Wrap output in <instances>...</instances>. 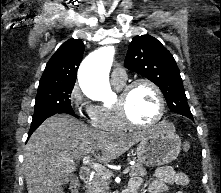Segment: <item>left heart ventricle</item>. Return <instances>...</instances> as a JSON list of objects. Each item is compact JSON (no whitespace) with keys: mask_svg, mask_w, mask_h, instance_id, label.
<instances>
[{"mask_svg":"<svg viewBox=\"0 0 221 193\" xmlns=\"http://www.w3.org/2000/svg\"><path fill=\"white\" fill-rule=\"evenodd\" d=\"M128 109L136 122H151L158 113V98L154 90L147 85L136 86L131 92Z\"/></svg>","mask_w":221,"mask_h":193,"instance_id":"1","label":"left heart ventricle"}]
</instances>
